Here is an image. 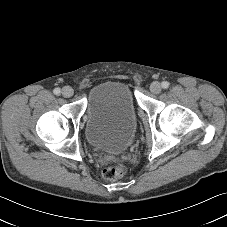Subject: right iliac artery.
<instances>
[{
  "mask_svg": "<svg viewBox=\"0 0 227 227\" xmlns=\"http://www.w3.org/2000/svg\"><path fill=\"white\" fill-rule=\"evenodd\" d=\"M53 92H54L55 95H60L61 90H60V88H55V89L53 90Z\"/></svg>",
  "mask_w": 227,
  "mask_h": 227,
  "instance_id": "82829eb1",
  "label": "right iliac artery"
}]
</instances>
